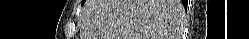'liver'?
Wrapping results in <instances>:
<instances>
[{"label": "liver", "mask_w": 249, "mask_h": 39, "mask_svg": "<svg viewBox=\"0 0 249 39\" xmlns=\"http://www.w3.org/2000/svg\"><path fill=\"white\" fill-rule=\"evenodd\" d=\"M173 0H90L81 39H170Z\"/></svg>", "instance_id": "1"}]
</instances>
